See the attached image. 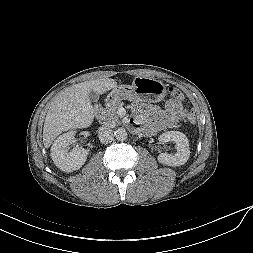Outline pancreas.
Wrapping results in <instances>:
<instances>
[{
  "label": "pancreas",
  "mask_w": 253,
  "mask_h": 253,
  "mask_svg": "<svg viewBox=\"0 0 253 253\" xmlns=\"http://www.w3.org/2000/svg\"><path fill=\"white\" fill-rule=\"evenodd\" d=\"M123 107L122 102H117L101 110L99 119L103 121V124L109 127H115L120 125L119 116L117 111L119 108Z\"/></svg>",
  "instance_id": "pancreas-1"
}]
</instances>
